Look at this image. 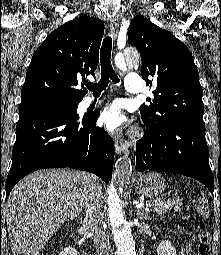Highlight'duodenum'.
Wrapping results in <instances>:
<instances>
[{
    "instance_id": "1",
    "label": "duodenum",
    "mask_w": 221,
    "mask_h": 255,
    "mask_svg": "<svg viewBox=\"0 0 221 255\" xmlns=\"http://www.w3.org/2000/svg\"><path fill=\"white\" fill-rule=\"evenodd\" d=\"M74 241H75L76 244H78L79 240H78V236L77 235L74 236ZM82 251H83V255H91V253L88 250H86V249H83Z\"/></svg>"
}]
</instances>
